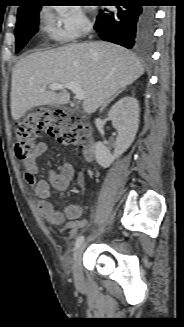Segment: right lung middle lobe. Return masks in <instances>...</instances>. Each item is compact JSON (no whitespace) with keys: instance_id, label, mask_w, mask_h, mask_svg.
<instances>
[{"instance_id":"1","label":"right lung middle lobe","mask_w":184,"mask_h":327,"mask_svg":"<svg viewBox=\"0 0 184 327\" xmlns=\"http://www.w3.org/2000/svg\"><path fill=\"white\" fill-rule=\"evenodd\" d=\"M41 6L36 5L25 10L18 11L17 24L15 27V52L18 53L30 38L38 32L39 11Z\"/></svg>"}]
</instances>
